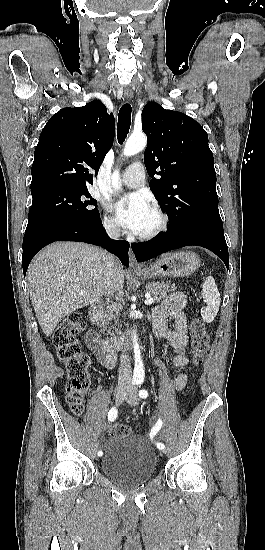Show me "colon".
<instances>
[{"mask_svg": "<svg viewBox=\"0 0 265 550\" xmlns=\"http://www.w3.org/2000/svg\"><path fill=\"white\" fill-rule=\"evenodd\" d=\"M83 329L79 312H71L56 327L52 343L58 360L63 363L67 372L66 394L67 401L74 414H81L84 410V395L89 389L91 378L88 371L90 359L81 350L76 337ZM192 334V365L199 367L206 358L211 345V334L204 321L196 317L191 322ZM130 434L126 425H115L110 431L112 438L124 437Z\"/></svg>", "mask_w": 265, "mask_h": 550, "instance_id": "obj_1", "label": "colon"}]
</instances>
